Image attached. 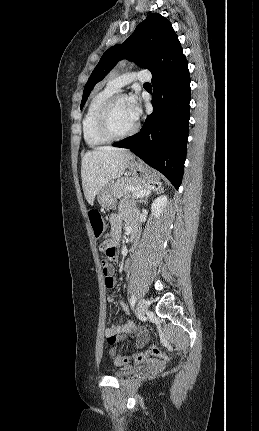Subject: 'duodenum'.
Returning <instances> with one entry per match:
<instances>
[{
  "label": "duodenum",
  "mask_w": 259,
  "mask_h": 431,
  "mask_svg": "<svg viewBox=\"0 0 259 431\" xmlns=\"http://www.w3.org/2000/svg\"><path fill=\"white\" fill-rule=\"evenodd\" d=\"M130 232H131L132 237H134V236H135V234H136V229H135V226H134V225H132V226H131V228H130Z\"/></svg>",
  "instance_id": "obj_1"
}]
</instances>
